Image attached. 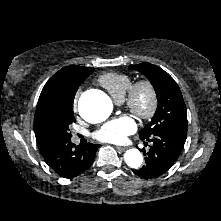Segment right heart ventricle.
<instances>
[{
    "label": "right heart ventricle",
    "instance_id": "e07e8e85",
    "mask_svg": "<svg viewBox=\"0 0 221 221\" xmlns=\"http://www.w3.org/2000/svg\"><path fill=\"white\" fill-rule=\"evenodd\" d=\"M98 82L115 101H122L132 84V78L124 73L109 72L101 75Z\"/></svg>",
    "mask_w": 221,
    "mask_h": 221
}]
</instances>
